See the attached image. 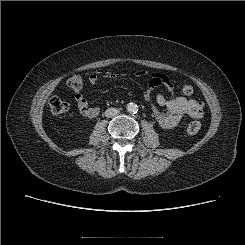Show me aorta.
I'll use <instances>...</instances> for the list:
<instances>
[{
    "mask_svg": "<svg viewBox=\"0 0 245 245\" xmlns=\"http://www.w3.org/2000/svg\"><path fill=\"white\" fill-rule=\"evenodd\" d=\"M127 111H128L129 113H133V114L137 113V111H138V106H137V104H135V103H129V104L127 105Z\"/></svg>",
    "mask_w": 245,
    "mask_h": 245,
    "instance_id": "762f6f07",
    "label": "aorta"
}]
</instances>
